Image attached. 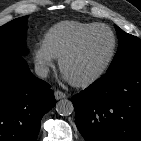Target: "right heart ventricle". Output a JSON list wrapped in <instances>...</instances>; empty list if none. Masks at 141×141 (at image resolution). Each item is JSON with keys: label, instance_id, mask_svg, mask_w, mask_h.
<instances>
[{"label": "right heart ventricle", "instance_id": "1", "mask_svg": "<svg viewBox=\"0 0 141 141\" xmlns=\"http://www.w3.org/2000/svg\"><path fill=\"white\" fill-rule=\"evenodd\" d=\"M94 24L75 20L59 22L45 32L41 45L54 59H59L76 38Z\"/></svg>", "mask_w": 141, "mask_h": 141}]
</instances>
